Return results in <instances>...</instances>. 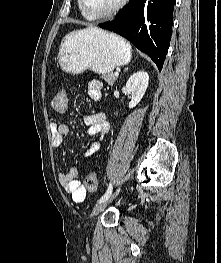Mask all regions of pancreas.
I'll list each match as a JSON object with an SVG mask.
<instances>
[{
  "label": "pancreas",
  "instance_id": "cf45deb5",
  "mask_svg": "<svg viewBox=\"0 0 221 263\" xmlns=\"http://www.w3.org/2000/svg\"><path fill=\"white\" fill-rule=\"evenodd\" d=\"M102 79H104L110 86L114 84V82L117 79V76H115L112 72L107 73L101 76Z\"/></svg>",
  "mask_w": 221,
  "mask_h": 263
}]
</instances>
